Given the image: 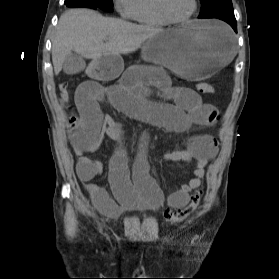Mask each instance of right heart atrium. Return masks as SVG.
Instances as JSON below:
<instances>
[{"label": "right heart atrium", "instance_id": "right-heart-atrium-1", "mask_svg": "<svg viewBox=\"0 0 279 279\" xmlns=\"http://www.w3.org/2000/svg\"><path fill=\"white\" fill-rule=\"evenodd\" d=\"M114 7L124 18H132L135 9V0H114Z\"/></svg>", "mask_w": 279, "mask_h": 279}]
</instances>
